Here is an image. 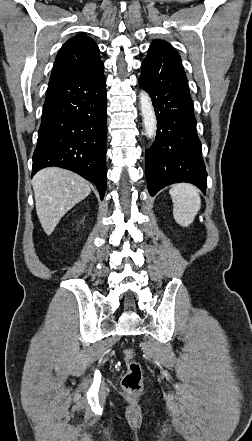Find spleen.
I'll use <instances>...</instances> for the list:
<instances>
[{"label":"spleen","instance_id":"3e777b00","mask_svg":"<svg viewBox=\"0 0 252 441\" xmlns=\"http://www.w3.org/2000/svg\"><path fill=\"white\" fill-rule=\"evenodd\" d=\"M173 201V216L182 227H188L201 207L198 189L188 183L175 184L169 190Z\"/></svg>","mask_w":252,"mask_h":441}]
</instances>
